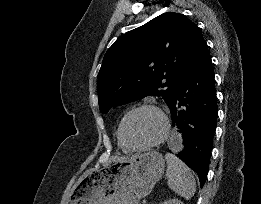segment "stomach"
Here are the masks:
<instances>
[{
  "label": "stomach",
  "mask_w": 261,
  "mask_h": 204,
  "mask_svg": "<svg viewBox=\"0 0 261 204\" xmlns=\"http://www.w3.org/2000/svg\"><path fill=\"white\" fill-rule=\"evenodd\" d=\"M165 160L157 151L121 159L90 171L75 184L69 204H138L162 177Z\"/></svg>",
  "instance_id": "0dacf381"
}]
</instances>
